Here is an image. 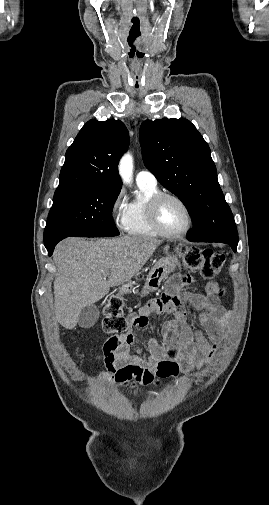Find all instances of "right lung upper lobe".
Here are the masks:
<instances>
[{"label": "right lung upper lobe", "instance_id": "obj_1", "mask_svg": "<svg viewBox=\"0 0 269 505\" xmlns=\"http://www.w3.org/2000/svg\"><path fill=\"white\" fill-rule=\"evenodd\" d=\"M128 144L129 134L120 120L88 121L66 151L58 188L102 186L120 189L117 165Z\"/></svg>", "mask_w": 269, "mask_h": 505}]
</instances>
